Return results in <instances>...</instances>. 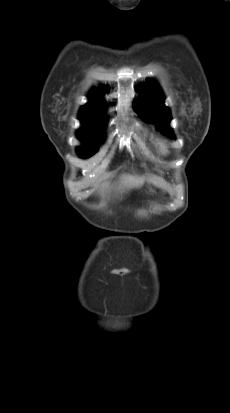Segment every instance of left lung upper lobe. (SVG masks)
<instances>
[{"label": "left lung upper lobe", "mask_w": 230, "mask_h": 413, "mask_svg": "<svg viewBox=\"0 0 230 413\" xmlns=\"http://www.w3.org/2000/svg\"><path fill=\"white\" fill-rule=\"evenodd\" d=\"M140 98L134 100V110L146 122L156 124V128L169 138H175L169 127L170 110L164 105V95L158 84L146 81L141 87Z\"/></svg>", "instance_id": "left-lung-upper-lobe-1"}]
</instances>
